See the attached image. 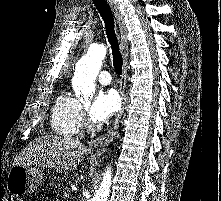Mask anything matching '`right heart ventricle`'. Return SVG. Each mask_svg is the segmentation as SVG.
Instances as JSON below:
<instances>
[{
	"label": "right heart ventricle",
	"instance_id": "right-heart-ventricle-1",
	"mask_svg": "<svg viewBox=\"0 0 221 201\" xmlns=\"http://www.w3.org/2000/svg\"><path fill=\"white\" fill-rule=\"evenodd\" d=\"M82 108L80 102L66 93L56 98L52 113L51 126L59 135L74 136L81 127Z\"/></svg>",
	"mask_w": 221,
	"mask_h": 201
}]
</instances>
